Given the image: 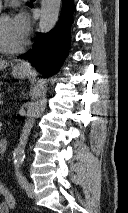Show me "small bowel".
Listing matches in <instances>:
<instances>
[{
  "instance_id": "1",
  "label": "small bowel",
  "mask_w": 128,
  "mask_h": 213,
  "mask_svg": "<svg viewBox=\"0 0 128 213\" xmlns=\"http://www.w3.org/2000/svg\"><path fill=\"white\" fill-rule=\"evenodd\" d=\"M0 213H10V209L5 203L0 204Z\"/></svg>"
}]
</instances>
